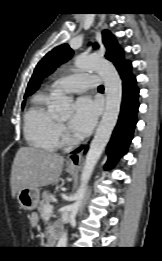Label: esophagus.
I'll list each match as a JSON object with an SVG mask.
<instances>
[{
    "mask_svg": "<svg viewBox=\"0 0 162 261\" xmlns=\"http://www.w3.org/2000/svg\"><path fill=\"white\" fill-rule=\"evenodd\" d=\"M82 164V151L79 153L70 154L67 161V166L72 169H79Z\"/></svg>",
    "mask_w": 162,
    "mask_h": 261,
    "instance_id": "1",
    "label": "esophagus"
}]
</instances>
